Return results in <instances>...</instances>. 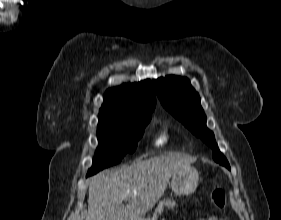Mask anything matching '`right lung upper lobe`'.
<instances>
[{
  "label": "right lung upper lobe",
  "mask_w": 281,
  "mask_h": 220,
  "mask_svg": "<svg viewBox=\"0 0 281 220\" xmlns=\"http://www.w3.org/2000/svg\"><path fill=\"white\" fill-rule=\"evenodd\" d=\"M155 105L156 98L150 80L123 84L106 91L99 113V124L110 125L152 115Z\"/></svg>",
  "instance_id": "1"
}]
</instances>
